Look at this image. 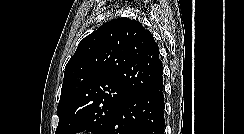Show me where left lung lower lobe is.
<instances>
[{"label":"left lung lower lobe","mask_w":244,"mask_h":134,"mask_svg":"<svg viewBox=\"0 0 244 134\" xmlns=\"http://www.w3.org/2000/svg\"><path fill=\"white\" fill-rule=\"evenodd\" d=\"M162 90L163 85L124 100L104 134H164Z\"/></svg>","instance_id":"0a47b994"}]
</instances>
